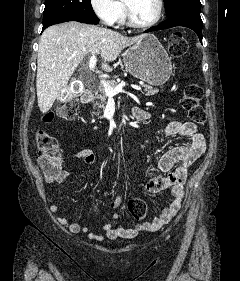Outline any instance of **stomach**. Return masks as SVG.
<instances>
[{"instance_id":"obj_1","label":"stomach","mask_w":240,"mask_h":281,"mask_svg":"<svg viewBox=\"0 0 240 281\" xmlns=\"http://www.w3.org/2000/svg\"><path fill=\"white\" fill-rule=\"evenodd\" d=\"M128 72L151 85H162L172 73L171 58L151 34L128 48L123 54Z\"/></svg>"}]
</instances>
